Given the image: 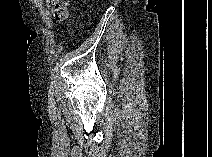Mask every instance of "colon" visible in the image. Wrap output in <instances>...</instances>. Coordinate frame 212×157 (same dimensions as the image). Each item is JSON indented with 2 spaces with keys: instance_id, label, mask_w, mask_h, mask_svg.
<instances>
[{
  "instance_id": "colon-1",
  "label": "colon",
  "mask_w": 212,
  "mask_h": 157,
  "mask_svg": "<svg viewBox=\"0 0 212 157\" xmlns=\"http://www.w3.org/2000/svg\"><path fill=\"white\" fill-rule=\"evenodd\" d=\"M48 7L57 22H65L68 18L67 2L64 0H48Z\"/></svg>"
}]
</instances>
